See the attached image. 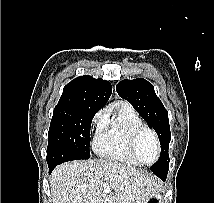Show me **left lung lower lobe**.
I'll return each instance as SVG.
<instances>
[{
  "mask_svg": "<svg viewBox=\"0 0 214 203\" xmlns=\"http://www.w3.org/2000/svg\"><path fill=\"white\" fill-rule=\"evenodd\" d=\"M166 176H167V175H165V176H163V177H162V180H163V181H165V180H166Z\"/></svg>",
  "mask_w": 214,
  "mask_h": 203,
  "instance_id": "left-lung-lower-lobe-1",
  "label": "left lung lower lobe"
}]
</instances>
